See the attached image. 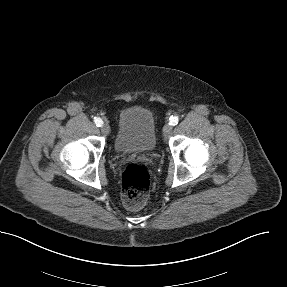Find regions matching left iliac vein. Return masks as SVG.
<instances>
[{
    "instance_id": "1",
    "label": "left iliac vein",
    "mask_w": 287,
    "mask_h": 287,
    "mask_svg": "<svg viewBox=\"0 0 287 287\" xmlns=\"http://www.w3.org/2000/svg\"><path fill=\"white\" fill-rule=\"evenodd\" d=\"M171 131H172L171 125L167 124L163 127V134L166 138L171 134Z\"/></svg>"
}]
</instances>
